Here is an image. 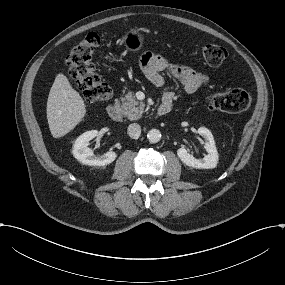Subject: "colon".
Instances as JSON below:
<instances>
[{
	"label": "colon",
	"mask_w": 285,
	"mask_h": 285,
	"mask_svg": "<svg viewBox=\"0 0 285 285\" xmlns=\"http://www.w3.org/2000/svg\"><path fill=\"white\" fill-rule=\"evenodd\" d=\"M99 43L100 36L91 32L66 57L70 74L89 103L106 100L112 93L111 88L101 80L93 63L94 51ZM202 54L206 63L214 67L221 65L227 57L226 49L215 44L205 45ZM208 102L214 109L239 113L250 106L251 96L243 89H228L211 93Z\"/></svg>",
	"instance_id": "5ec220e1"
}]
</instances>
